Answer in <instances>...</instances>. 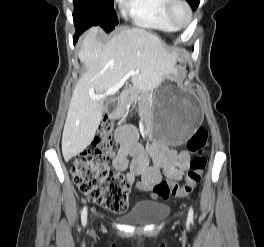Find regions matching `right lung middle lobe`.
Listing matches in <instances>:
<instances>
[{
  "mask_svg": "<svg viewBox=\"0 0 264 247\" xmlns=\"http://www.w3.org/2000/svg\"><path fill=\"white\" fill-rule=\"evenodd\" d=\"M73 19L76 30L84 32L91 26L99 25L111 31L118 19L114 11V0H73Z\"/></svg>",
  "mask_w": 264,
  "mask_h": 247,
  "instance_id": "1",
  "label": "right lung middle lobe"
}]
</instances>
